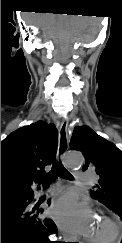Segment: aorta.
Listing matches in <instances>:
<instances>
[{
	"label": "aorta",
	"instance_id": "762f6f07",
	"mask_svg": "<svg viewBox=\"0 0 122 243\" xmlns=\"http://www.w3.org/2000/svg\"><path fill=\"white\" fill-rule=\"evenodd\" d=\"M65 162L68 167L70 168H75L81 166L83 162V157L80 153L78 152H70L67 154L65 158Z\"/></svg>",
	"mask_w": 122,
	"mask_h": 243
}]
</instances>
